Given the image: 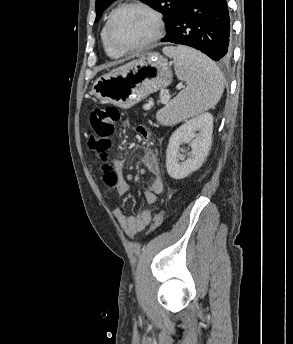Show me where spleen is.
Listing matches in <instances>:
<instances>
[{"label":"spleen","mask_w":293,"mask_h":344,"mask_svg":"<svg viewBox=\"0 0 293 344\" xmlns=\"http://www.w3.org/2000/svg\"><path fill=\"white\" fill-rule=\"evenodd\" d=\"M163 53L173 59L175 73L187 87L157 112L160 124L175 125L218 103L224 91V78L210 58L185 46L165 47Z\"/></svg>","instance_id":"1"}]
</instances>
